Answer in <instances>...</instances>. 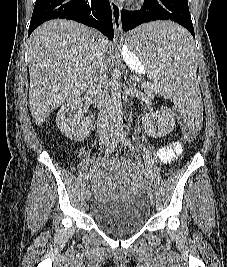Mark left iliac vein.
Here are the masks:
<instances>
[{
	"mask_svg": "<svg viewBox=\"0 0 227 267\" xmlns=\"http://www.w3.org/2000/svg\"><path fill=\"white\" fill-rule=\"evenodd\" d=\"M147 193H148V196H149V199L152 203V205L155 204V195H154V191L151 187H147Z\"/></svg>",
	"mask_w": 227,
	"mask_h": 267,
	"instance_id": "4c4485c4",
	"label": "left iliac vein"
}]
</instances>
